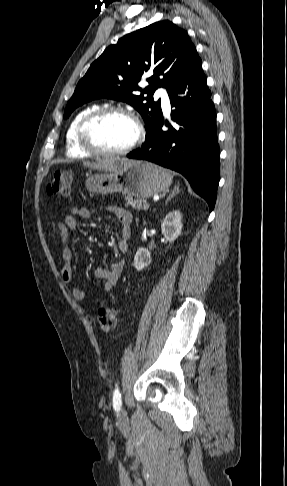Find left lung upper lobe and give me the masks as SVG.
I'll list each match as a JSON object with an SVG mask.
<instances>
[{
  "instance_id": "obj_1",
  "label": "left lung upper lobe",
  "mask_w": 287,
  "mask_h": 486,
  "mask_svg": "<svg viewBox=\"0 0 287 486\" xmlns=\"http://www.w3.org/2000/svg\"><path fill=\"white\" fill-rule=\"evenodd\" d=\"M198 59L187 32L168 20L127 34L91 64L68 101L64 118L86 102L110 98L133 106L148 130L162 117L160 100L153 102L154 92L168 89ZM143 75L149 76V86L141 89L137 83Z\"/></svg>"
}]
</instances>
